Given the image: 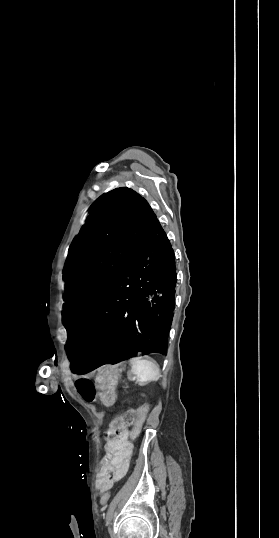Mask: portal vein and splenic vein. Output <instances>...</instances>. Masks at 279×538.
<instances>
[{
    "label": "portal vein and splenic vein",
    "mask_w": 279,
    "mask_h": 538,
    "mask_svg": "<svg viewBox=\"0 0 279 538\" xmlns=\"http://www.w3.org/2000/svg\"><path fill=\"white\" fill-rule=\"evenodd\" d=\"M133 384H138V381H133Z\"/></svg>",
    "instance_id": "portal-vein-and-splenic-vein-1"
}]
</instances>
